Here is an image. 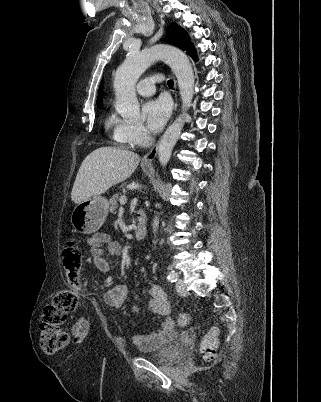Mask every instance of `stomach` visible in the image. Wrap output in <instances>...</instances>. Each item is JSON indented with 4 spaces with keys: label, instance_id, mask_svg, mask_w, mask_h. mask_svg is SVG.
I'll return each mask as SVG.
<instances>
[{
    "label": "stomach",
    "instance_id": "1",
    "mask_svg": "<svg viewBox=\"0 0 321 402\" xmlns=\"http://www.w3.org/2000/svg\"><path fill=\"white\" fill-rule=\"evenodd\" d=\"M107 198L97 195L76 205L71 215V224L76 232L92 234L104 224L108 214Z\"/></svg>",
    "mask_w": 321,
    "mask_h": 402
}]
</instances>
